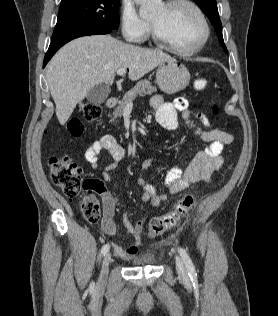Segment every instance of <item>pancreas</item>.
Returning a JSON list of instances; mask_svg holds the SVG:
<instances>
[{"mask_svg": "<svg viewBox=\"0 0 278 316\" xmlns=\"http://www.w3.org/2000/svg\"><path fill=\"white\" fill-rule=\"evenodd\" d=\"M156 87L152 86L148 80H140L137 84L123 96L118 107L113 111V119L120 117L126 106L136 99L137 96L151 95L156 92Z\"/></svg>", "mask_w": 278, "mask_h": 316, "instance_id": "obj_1", "label": "pancreas"}]
</instances>
